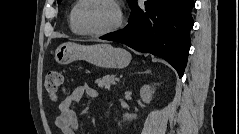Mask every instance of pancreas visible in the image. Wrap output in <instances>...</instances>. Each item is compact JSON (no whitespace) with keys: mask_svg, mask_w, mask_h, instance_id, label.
<instances>
[{"mask_svg":"<svg viewBox=\"0 0 239 134\" xmlns=\"http://www.w3.org/2000/svg\"><path fill=\"white\" fill-rule=\"evenodd\" d=\"M95 82L100 88L110 89V87L115 84V76L106 75L103 78L97 79Z\"/></svg>","mask_w":239,"mask_h":134,"instance_id":"pancreas-1","label":"pancreas"}]
</instances>
